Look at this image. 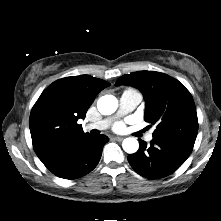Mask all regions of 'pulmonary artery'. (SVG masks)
Returning a JSON list of instances; mask_svg holds the SVG:
<instances>
[{"label":"pulmonary artery","instance_id":"pulmonary-artery-1","mask_svg":"<svg viewBox=\"0 0 221 221\" xmlns=\"http://www.w3.org/2000/svg\"><path fill=\"white\" fill-rule=\"evenodd\" d=\"M141 100L142 95L138 91L133 89H127L120 96L119 109L115 116L100 120L95 123L87 124L85 128L88 130H105L115 121V119L132 112L138 106ZM152 139L153 136L151 133H149L146 136V140L150 142Z\"/></svg>","mask_w":221,"mask_h":221}]
</instances>
